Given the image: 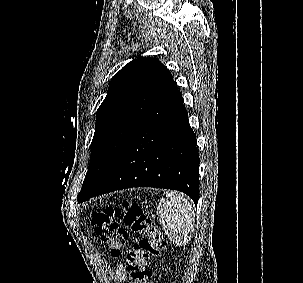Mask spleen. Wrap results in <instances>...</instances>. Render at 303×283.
Listing matches in <instances>:
<instances>
[{"label": "spleen", "instance_id": "spleen-1", "mask_svg": "<svg viewBox=\"0 0 303 283\" xmlns=\"http://www.w3.org/2000/svg\"><path fill=\"white\" fill-rule=\"evenodd\" d=\"M159 222L169 240L177 246H185L194 232L195 213L183 195L168 191L157 206Z\"/></svg>", "mask_w": 303, "mask_h": 283}]
</instances>
